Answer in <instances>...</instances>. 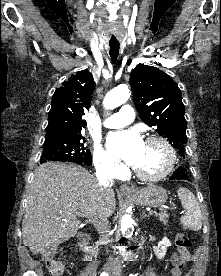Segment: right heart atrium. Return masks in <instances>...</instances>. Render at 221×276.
I'll return each mask as SVG.
<instances>
[{"mask_svg": "<svg viewBox=\"0 0 221 276\" xmlns=\"http://www.w3.org/2000/svg\"><path fill=\"white\" fill-rule=\"evenodd\" d=\"M93 163L99 173L111 178L118 177L123 172L121 163L98 144L93 150Z\"/></svg>", "mask_w": 221, "mask_h": 276, "instance_id": "d8ad5b80", "label": "right heart atrium"}]
</instances>
